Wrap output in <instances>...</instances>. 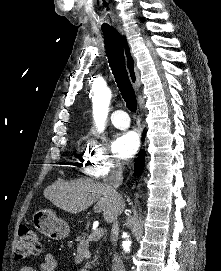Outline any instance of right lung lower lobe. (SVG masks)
I'll return each mask as SVG.
<instances>
[{
	"label": "right lung lower lobe",
	"instance_id": "98d812e1",
	"mask_svg": "<svg viewBox=\"0 0 221 271\" xmlns=\"http://www.w3.org/2000/svg\"><path fill=\"white\" fill-rule=\"evenodd\" d=\"M144 157H145V151L141 150L138 158L135 161V174L140 175L143 172L144 168Z\"/></svg>",
	"mask_w": 221,
	"mask_h": 271
}]
</instances>
